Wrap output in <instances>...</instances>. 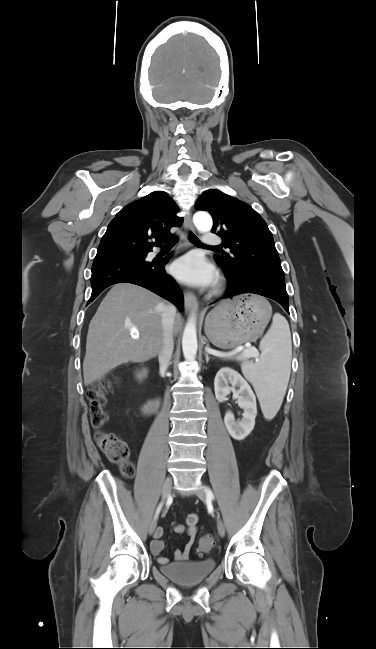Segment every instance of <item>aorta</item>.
Wrapping results in <instances>:
<instances>
[{
	"label": "aorta",
	"mask_w": 376,
	"mask_h": 649,
	"mask_svg": "<svg viewBox=\"0 0 376 649\" xmlns=\"http://www.w3.org/2000/svg\"><path fill=\"white\" fill-rule=\"evenodd\" d=\"M193 222L198 231L208 232L211 230L213 221L209 213L205 211H199L194 214ZM198 343H197V330H196V318L195 314H192L184 328L183 337H182V350L184 358L187 362H192L195 360L197 355Z\"/></svg>",
	"instance_id": "1"
}]
</instances>
